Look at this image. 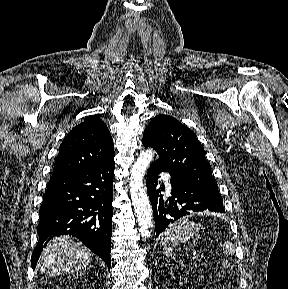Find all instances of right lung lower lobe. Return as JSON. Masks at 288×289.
<instances>
[{"label": "right lung lower lobe", "instance_id": "obj_1", "mask_svg": "<svg viewBox=\"0 0 288 289\" xmlns=\"http://www.w3.org/2000/svg\"><path fill=\"white\" fill-rule=\"evenodd\" d=\"M114 157L92 169L53 175L44 193L37 227L39 241L31 257L35 268L52 235L77 237L111 265Z\"/></svg>", "mask_w": 288, "mask_h": 289}]
</instances>
